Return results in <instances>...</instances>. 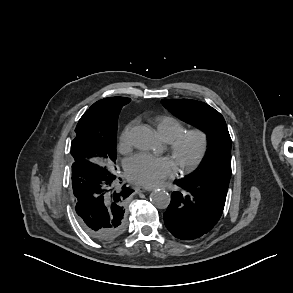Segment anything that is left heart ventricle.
<instances>
[{"label": "left heart ventricle", "instance_id": "obj_1", "mask_svg": "<svg viewBox=\"0 0 293 293\" xmlns=\"http://www.w3.org/2000/svg\"><path fill=\"white\" fill-rule=\"evenodd\" d=\"M197 141L195 139L189 140L184 147L182 148L181 152L178 156H172L173 163L175 166L181 165L187 161H189L197 150Z\"/></svg>", "mask_w": 293, "mask_h": 293}]
</instances>
